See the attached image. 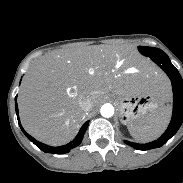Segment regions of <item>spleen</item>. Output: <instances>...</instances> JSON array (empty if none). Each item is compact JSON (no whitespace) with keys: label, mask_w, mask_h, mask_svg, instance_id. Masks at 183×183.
<instances>
[{"label":"spleen","mask_w":183,"mask_h":183,"mask_svg":"<svg viewBox=\"0 0 183 183\" xmlns=\"http://www.w3.org/2000/svg\"><path fill=\"white\" fill-rule=\"evenodd\" d=\"M170 116L171 107L161 105L136 124L128 125V130L137 141L149 142L157 139L165 131L170 121Z\"/></svg>","instance_id":"obj_1"}]
</instances>
